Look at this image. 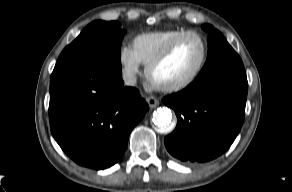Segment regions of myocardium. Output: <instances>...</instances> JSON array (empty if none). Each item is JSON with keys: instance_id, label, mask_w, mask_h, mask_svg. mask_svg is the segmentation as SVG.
Masks as SVG:
<instances>
[{"instance_id": "myocardium-1", "label": "myocardium", "mask_w": 292, "mask_h": 192, "mask_svg": "<svg viewBox=\"0 0 292 192\" xmlns=\"http://www.w3.org/2000/svg\"><path fill=\"white\" fill-rule=\"evenodd\" d=\"M189 36L197 37L201 41V44H202V57H201V60L198 64V66L196 67V69L187 78H185L181 81L172 83V84L160 85V84H157L156 82H154V80L152 79L153 70L172 54V52L175 50L177 45L184 38L189 37ZM208 55H209V47H208V42H207L206 38L201 33L197 32V31H193V30L185 31L184 33L175 37L160 53H158L146 65V68H145L146 78L148 79V81L151 84H153L156 88H158L161 91H164V92L180 91L182 89L187 88L192 83H194L197 80V78L201 75V73L203 72V70L207 64Z\"/></svg>"}]
</instances>
